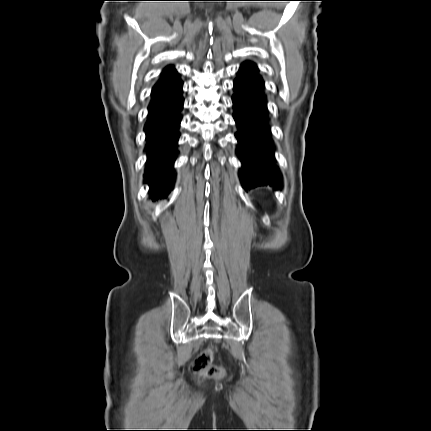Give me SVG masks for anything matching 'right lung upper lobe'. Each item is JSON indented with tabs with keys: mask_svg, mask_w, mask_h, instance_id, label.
I'll return each mask as SVG.
<instances>
[{
	"mask_svg": "<svg viewBox=\"0 0 431 431\" xmlns=\"http://www.w3.org/2000/svg\"><path fill=\"white\" fill-rule=\"evenodd\" d=\"M176 78H178V73L175 70L174 67L172 66H168L162 73V78L160 79V81L153 87V91H156L162 87H164L166 84H168L169 82L175 80Z\"/></svg>",
	"mask_w": 431,
	"mask_h": 431,
	"instance_id": "cb5924a9",
	"label": "right lung upper lobe"
}]
</instances>
